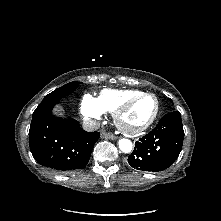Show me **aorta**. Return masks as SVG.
I'll list each match as a JSON object with an SVG mask.
<instances>
[{"instance_id":"1","label":"aorta","mask_w":221,"mask_h":221,"mask_svg":"<svg viewBox=\"0 0 221 221\" xmlns=\"http://www.w3.org/2000/svg\"><path fill=\"white\" fill-rule=\"evenodd\" d=\"M119 149L124 153H129L132 151V142L129 139H120L118 142Z\"/></svg>"}]
</instances>
